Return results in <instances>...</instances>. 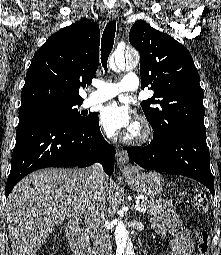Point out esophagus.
Returning <instances> with one entry per match:
<instances>
[{
	"label": "esophagus",
	"mask_w": 221,
	"mask_h": 255,
	"mask_svg": "<svg viewBox=\"0 0 221 255\" xmlns=\"http://www.w3.org/2000/svg\"><path fill=\"white\" fill-rule=\"evenodd\" d=\"M108 17L110 20L115 21V20H118L119 14L115 9H110L108 11ZM116 160H117L120 170L123 173L132 171V167L130 166V163H129V156H128L126 150H123V149L117 150Z\"/></svg>",
	"instance_id": "34e87169"
}]
</instances>
